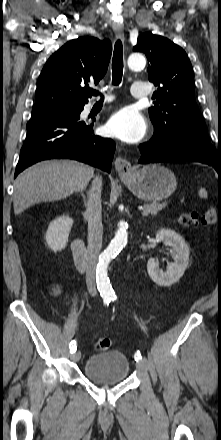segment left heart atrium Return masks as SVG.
Wrapping results in <instances>:
<instances>
[{"mask_svg":"<svg viewBox=\"0 0 221 440\" xmlns=\"http://www.w3.org/2000/svg\"><path fill=\"white\" fill-rule=\"evenodd\" d=\"M109 135L133 143L145 134L146 122L143 116L131 107H125L111 116L107 123Z\"/></svg>","mask_w":221,"mask_h":440,"instance_id":"obj_1","label":"left heart atrium"}]
</instances>
